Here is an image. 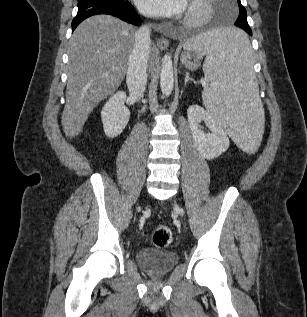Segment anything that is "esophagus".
I'll use <instances>...</instances> for the list:
<instances>
[{
  "label": "esophagus",
  "mask_w": 307,
  "mask_h": 317,
  "mask_svg": "<svg viewBox=\"0 0 307 317\" xmlns=\"http://www.w3.org/2000/svg\"><path fill=\"white\" fill-rule=\"evenodd\" d=\"M157 46L161 49V50H165L168 48L169 46V41L166 38H158L157 39Z\"/></svg>",
  "instance_id": "obj_1"
}]
</instances>
